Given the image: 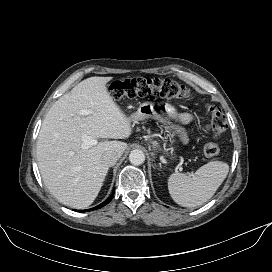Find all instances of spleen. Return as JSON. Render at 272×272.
<instances>
[{
    "label": "spleen",
    "instance_id": "1",
    "mask_svg": "<svg viewBox=\"0 0 272 272\" xmlns=\"http://www.w3.org/2000/svg\"><path fill=\"white\" fill-rule=\"evenodd\" d=\"M228 172L229 165L221 161L209 162L192 175L175 172L168 179V190L177 204L197 207L215 194Z\"/></svg>",
    "mask_w": 272,
    "mask_h": 272
}]
</instances>
